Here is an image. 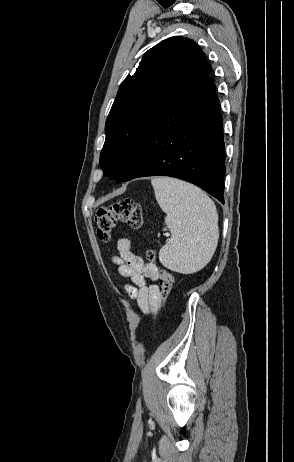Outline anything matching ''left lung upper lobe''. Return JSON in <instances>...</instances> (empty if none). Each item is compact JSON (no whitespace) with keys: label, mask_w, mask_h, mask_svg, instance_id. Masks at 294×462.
Listing matches in <instances>:
<instances>
[{"label":"left lung upper lobe","mask_w":294,"mask_h":462,"mask_svg":"<svg viewBox=\"0 0 294 462\" xmlns=\"http://www.w3.org/2000/svg\"><path fill=\"white\" fill-rule=\"evenodd\" d=\"M211 70L201 48L185 37H170L143 55L134 75L121 83L106 120L100 166L108 177L118 173L157 112Z\"/></svg>","instance_id":"1"}]
</instances>
